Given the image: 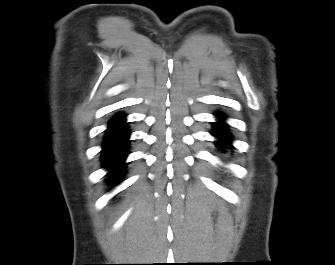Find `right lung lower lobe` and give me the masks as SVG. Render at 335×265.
<instances>
[{
    "label": "right lung lower lobe",
    "mask_w": 335,
    "mask_h": 265,
    "mask_svg": "<svg viewBox=\"0 0 335 265\" xmlns=\"http://www.w3.org/2000/svg\"><path fill=\"white\" fill-rule=\"evenodd\" d=\"M129 130L123 115L111 119L102 145L103 164L109 170L112 180L124 172L125 159L128 155Z\"/></svg>",
    "instance_id": "98d812e1"
}]
</instances>
